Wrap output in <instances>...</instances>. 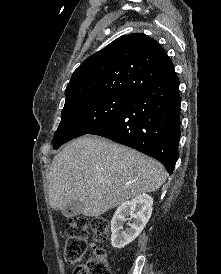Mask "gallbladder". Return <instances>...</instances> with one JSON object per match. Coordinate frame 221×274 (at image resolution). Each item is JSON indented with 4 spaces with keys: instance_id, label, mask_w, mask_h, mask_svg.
<instances>
[{
    "instance_id": "obj_1",
    "label": "gallbladder",
    "mask_w": 221,
    "mask_h": 274,
    "mask_svg": "<svg viewBox=\"0 0 221 274\" xmlns=\"http://www.w3.org/2000/svg\"><path fill=\"white\" fill-rule=\"evenodd\" d=\"M83 204L79 200H73L67 209L64 210V215L67 217L77 216L82 213Z\"/></svg>"
}]
</instances>
